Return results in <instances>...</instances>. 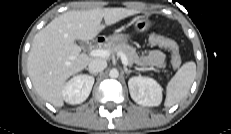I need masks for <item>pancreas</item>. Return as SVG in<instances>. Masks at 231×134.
<instances>
[{
	"instance_id": "1",
	"label": "pancreas",
	"mask_w": 231,
	"mask_h": 134,
	"mask_svg": "<svg viewBox=\"0 0 231 134\" xmlns=\"http://www.w3.org/2000/svg\"><path fill=\"white\" fill-rule=\"evenodd\" d=\"M105 47L117 54L120 52L124 53L128 59L129 65H133L134 63V56L136 53L135 48L131 47L130 45L126 43H107L105 44Z\"/></svg>"
}]
</instances>
